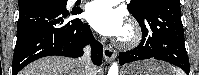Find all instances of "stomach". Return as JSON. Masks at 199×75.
Instances as JSON below:
<instances>
[{
    "label": "stomach",
    "mask_w": 199,
    "mask_h": 75,
    "mask_svg": "<svg viewBox=\"0 0 199 75\" xmlns=\"http://www.w3.org/2000/svg\"><path fill=\"white\" fill-rule=\"evenodd\" d=\"M170 67L164 63L154 60L138 61L127 65L123 75H169Z\"/></svg>",
    "instance_id": "1"
}]
</instances>
